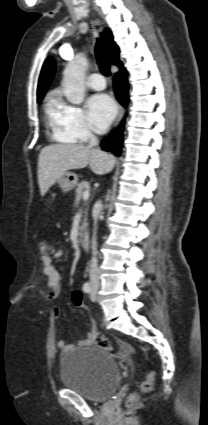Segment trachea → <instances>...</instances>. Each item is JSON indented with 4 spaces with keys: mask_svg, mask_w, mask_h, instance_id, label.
Listing matches in <instances>:
<instances>
[{
    "mask_svg": "<svg viewBox=\"0 0 208 425\" xmlns=\"http://www.w3.org/2000/svg\"><path fill=\"white\" fill-rule=\"evenodd\" d=\"M95 53H96V59H97V62L99 64L101 73L103 75L109 76L110 75V65L107 62V60L105 59L104 49H103V46H102V44L99 40H97V43H96Z\"/></svg>",
    "mask_w": 208,
    "mask_h": 425,
    "instance_id": "1",
    "label": "trachea"
}]
</instances>
